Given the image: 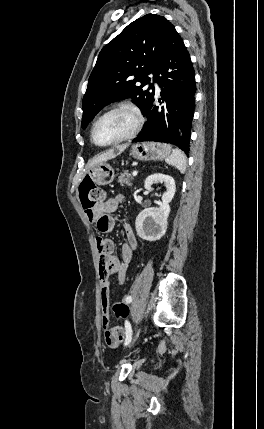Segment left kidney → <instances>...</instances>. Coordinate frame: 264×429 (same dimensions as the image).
Wrapping results in <instances>:
<instances>
[{
	"mask_svg": "<svg viewBox=\"0 0 264 429\" xmlns=\"http://www.w3.org/2000/svg\"><path fill=\"white\" fill-rule=\"evenodd\" d=\"M156 182L165 184L166 192L162 195V205L159 208H146L136 217L137 235L143 240L156 241L162 238L167 230V218L170 213L169 203L175 194V181L171 176L155 173L145 180V189H150Z\"/></svg>",
	"mask_w": 264,
	"mask_h": 429,
	"instance_id": "1",
	"label": "left kidney"
}]
</instances>
